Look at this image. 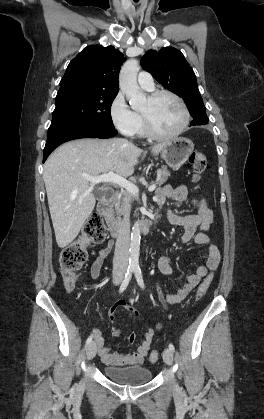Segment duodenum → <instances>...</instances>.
<instances>
[{
  "label": "duodenum",
  "instance_id": "1",
  "mask_svg": "<svg viewBox=\"0 0 264 419\" xmlns=\"http://www.w3.org/2000/svg\"><path fill=\"white\" fill-rule=\"evenodd\" d=\"M117 199L116 193H111L104 197L97 206L98 213L104 218L108 231L112 237H118L121 233V222L113 214V204ZM157 219H144L138 223V228L142 233H149Z\"/></svg>",
  "mask_w": 264,
  "mask_h": 419
}]
</instances>
